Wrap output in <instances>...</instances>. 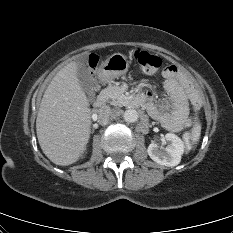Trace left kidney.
I'll return each instance as SVG.
<instances>
[{"label": "left kidney", "instance_id": "1", "mask_svg": "<svg viewBox=\"0 0 233 233\" xmlns=\"http://www.w3.org/2000/svg\"><path fill=\"white\" fill-rule=\"evenodd\" d=\"M165 140L167 141V146L165 148L161 149L155 142H152L148 146L147 152L150 158L156 163L174 167L181 161V156L185 150V144L173 133H167L165 135Z\"/></svg>", "mask_w": 233, "mask_h": 233}]
</instances>
